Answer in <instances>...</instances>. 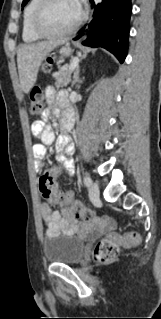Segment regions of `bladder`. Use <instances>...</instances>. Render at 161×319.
<instances>
[{
	"label": "bladder",
	"instance_id": "31cf9c89",
	"mask_svg": "<svg viewBox=\"0 0 161 319\" xmlns=\"http://www.w3.org/2000/svg\"><path fill=\"white\" fill-rule=\"evenodd\" d=\"M42 244L44 259L49 263L77 264L86 250L85 241L76 234L46 235Z\"/></svg>",
	"mask_w": 161,
	"mask_h": 319
}]
</instances>
